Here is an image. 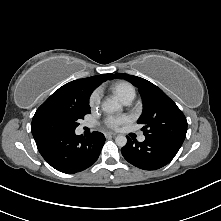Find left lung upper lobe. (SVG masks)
Here are the masks:
<instances>
[{
  "label": "left lung upper lobe",
  "instance_id": "1",
  "mask_svg": "<svg viewBox=\"0 0 221 221\" xmlns=\"http://www.w3.org/2000/svg\"><path fill=\"white\" fill-rule=\"evenodd\" d=\"M112 78H121L135 85L142 97L143 112L138 119L144 135L150 138H174L184 141L187 132V120L177 105L153 83L128 74H114Z\"/></svg>",
  "mask_w": 221,
  "mask_h": 221
}]
</instances>
